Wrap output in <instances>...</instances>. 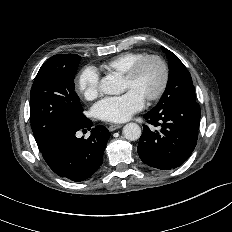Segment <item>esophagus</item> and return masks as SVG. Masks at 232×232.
I'll use <instances>...</instances> for the list:
<instances>
[{"label": "esophagus", "instance_id": "34e87169", "mask_svg": "<svg viewBox=\"0 0 232 232\" xmlns=\"http://www.w3.org/2000/svg\"><path fill=\"white\" fill-rule=\"evenodd\" d=\"M121 127H122L121 124H111L108 129H109V131L113 132Z\"/></svg>", "mask_w": 232, "mask_h": 232}]
</instances>
